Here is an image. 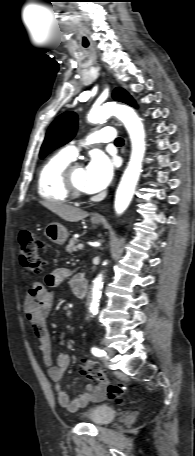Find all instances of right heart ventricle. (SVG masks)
Returning <instances> with one entry per match:
<instances>
[{
    "label": "right heart ventricle",
    "instance_id": "right-heart-ventricle-1",
    "mask_svg": "<svg viewBox=\"0 0 195 456\" xmlns=\"http://www.w3.org/2000/svg\"><path fill=\"white\" fill-rule=\"evenodd\" d=\"M72 160L61 151L51 156L43 164L37 181L38 192L42 198L55 202H66L69 199L63 182V173Z\"/></svg>",
    "mask_w": 195,
    "mask_h": 456
}]
</instances>
